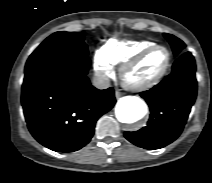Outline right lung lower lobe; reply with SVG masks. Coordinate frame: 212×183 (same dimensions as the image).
Wrapping results in <instances>:
<instances>
[{"label":"right lung lower lobe","instance_id":"right-lung-lower-lobe-1","mask_svg":"<svg viewBox=\"0 0 212 183\" xmlns=\"http://www.w3.org/2000/svg\"><path fill=\"white\" fill-rule=\"evenodd\" d=\"M87 56L44 55L25 66L21 102L28 128L45 147L73 152L92 138L96 121L116 103L113 88L98 90L86 74Z\"/></svg>","mask_w":212,"mask_h":183}]
</instances>
